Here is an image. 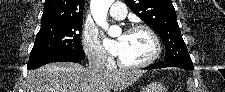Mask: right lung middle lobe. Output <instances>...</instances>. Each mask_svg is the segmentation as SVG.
<instances>
[{"instance_id": "dd1d6c3e", "label": "right lung middle lobe", "mask_w": 225, "mask_h": 92, "mask_svg": "<svg viewBox=\"0 0 225 92\" xmlns=\"http://www.w3.org/2000/svg\"><path fill=\"white\" fill-rule=\"evenodd\" d=\"M83 22L41 24L30 58L63 50H82L80 31Z\"/></svg>"}]
</instances>
